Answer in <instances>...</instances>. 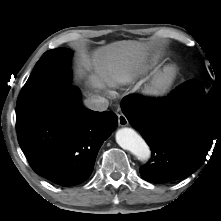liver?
Instances as JSON below:
<instances>
[{
  "label": "liver",
  "instance_id": "1",
  "mask_svg": "<svg viewBox=\"0 0 221 221\" xmlns=\"http://www.w3.org/2000/svg\"><path fill=\"white\" fill-rule=\"evenodd\" d=\"M148 46L134 40H123L96 49L92 57L84 58L85 68H93L89 77L93 88L102 89L105 84L115 86L131 79L145 68Z\"/></svg>",
  "mask_w": 221,
  "mask_h": 221
}]
</instances>
